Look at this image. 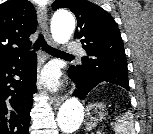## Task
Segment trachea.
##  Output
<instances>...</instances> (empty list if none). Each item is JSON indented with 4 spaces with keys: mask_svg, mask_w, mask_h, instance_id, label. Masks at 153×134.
I'll return each instance as SVG.
<instances>
[{
    "mask_svg": "<svg viewBox=\"0 0 153 134\" xmlns=\"http://www.w3.org/2000/svg\"><path fill=\"white\" fill-rule=\"evenodd\" d=\"M40 47H42L43 50H45L47 53H49L50 55H53V56L72 57L71 54L65 53L61 50H58V49H55V48L49 46L46 43L43 35H39L38 40L34 43V49L35 50H38Z\"/></svg>",
    "mask_w": 153,
    "mask_h": 134,
    "instance_id": "trachea-1",
    "label": "trachea"
}]
</instances>
